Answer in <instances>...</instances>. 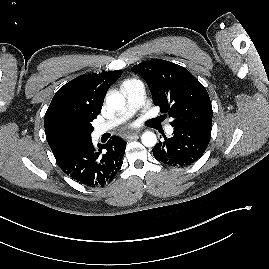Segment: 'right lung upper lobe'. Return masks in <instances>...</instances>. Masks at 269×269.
I'll return each mask as SVG.
<instances>
[{
  "mask_svg": "<svg viewBox=\"0 0 269 269\" xmlns=\"http://www.w3.org/2000/svg\"><path fill=\"white\" fill-rule=\"evenodd\" d=\"M122 71L81 75L63 85L54 95L44 117L47 142L59 158L65 149V134L71 127L89 125L101 112L104 96Z\"/></svg>",
  "mask_w": 269,
  "mask_h": 269,
  "instance_id": "obj_1",
  "label": "right lung upper lobe"
}]
</instances>
